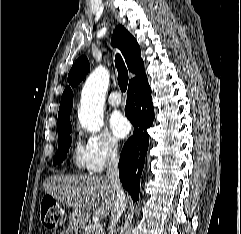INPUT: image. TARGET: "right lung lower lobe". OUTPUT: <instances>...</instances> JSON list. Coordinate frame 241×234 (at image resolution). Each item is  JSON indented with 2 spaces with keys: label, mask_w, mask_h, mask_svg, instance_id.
<instances>
[{
  "label": "right lung lower lobe",
  "mask_w": 241,
  "mask_h": 234,
  "mask_svg": "<svg viewBox=\"0 0 241 234\" xmlns=\"http://www.w3.org/2000/svg\"><path fill=\"white\" fill-rule=\"evenodd\" d=\"M125 115L134 126L120 155L119 177L134 201L138 200L140 177L149 145L146 132L154 120L151 89L146 74L129 83Z\"/></svg>",
  "instance_id": "obj_1"
}]
</instances>
